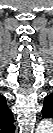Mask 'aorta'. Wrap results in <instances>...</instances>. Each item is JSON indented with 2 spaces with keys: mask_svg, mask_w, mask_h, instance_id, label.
Wrapping results in <instances>:
<instances>
[{
  "mask_svg": "<svg viewBox=\"0 0 53 133\" xmlns=\"http://www.w3.org/2000/svg\"><path fill=\"white\" fill-rule=\"evenodd\" d=\"M46 126V122H41L38 127H37V132L40 133V131L43 130V128H45Z\"/></svg>",
  "mask_w": 53,
  "mask_h": 133,
  "instance_id": "aorta-1",
  "label": "aorta"
}]
</instances>
